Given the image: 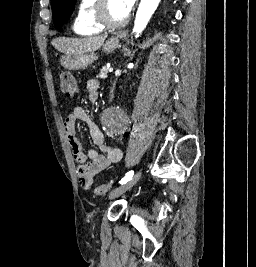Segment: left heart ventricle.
<instances>
[{
	"instance_id": "1",
	"label": "left heart ventricle",
	"mask_w": 256,
	"mask_h": 267,
	"mask_svg": "<svg viewBox=\"0 0 256 267\" xmlns=\"http://www.w3.org/2000/svg\"><path fill=\"white\" fill-rule=\"evenodd\" d=\"M107 18L112 26H118L122 21V15L114 1H111L107 9Z\"/></svg>"
}]
</instances>
